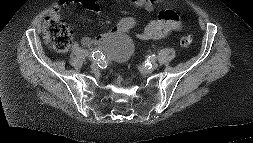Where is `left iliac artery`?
<instances>
[{
  "label": "left iliac artery",
  "instance_id": "1",
  "mask_svg": "<svg viewBox=\"0 0 253 143\" xmlns=\"http://www.w3.org/2000/svg\"><path fill=\"white\" fill-rule=\"evenodd\" d=\"M148 58H149V60H150L151 62H153V61L156 60V56H155V55H151V56H149ZM150 65H151V64H150Z\"/></svg>",
  "mask_w": 253,
  "mask_h": 143
}]
</instances>
